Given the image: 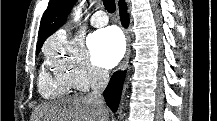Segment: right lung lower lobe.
<instances>
[{"instance_id": "obj_1", "label": "right lung lower lobe", "mask_w": 217, "mask_h": 121, "mask_svg": "<svg viewBox=\"0 0 217 121\" xmlns=\"http://www.w3.org/2000/svg\"><path fill=\"white\" fill-rule=\"evenodd\" d=\"M120 19L124 27L128 26L129 18L126 4L123 0L119 2ZM125 72H115L104 91V98L110 109L115 112L118 109Z\"/></svg>"}]
</instances>
